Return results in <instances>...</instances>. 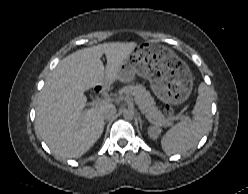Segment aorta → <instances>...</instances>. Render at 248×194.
Instances as JSON below:
<instances>
[{
	"label": "aorta",
	"mask_w": 248,
	"mask_h": 194,
	"mask_svg": "<svg viewBox=\"0 0 248 194\" xmlns=\"http://www.w3.org/2000/svg\"><path fill=\"white\" fill-rule=\"evenodd\" d=\"M123 117L126 120H132L134 118V112L132 110H125L123 113Z\"/></svg>",
	"instance_id": "obj_1"
}]
</instances>
